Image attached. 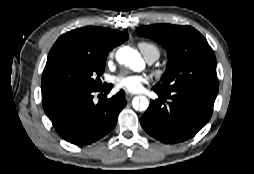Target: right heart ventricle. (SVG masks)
Returning <instances> with one entry per match:
<instances>
[{
    "label": "right heart ventricle",
    "instance_id": "e07e8e85",
    "mask_svg": "<svg viewBox=\"0 0 254 174\" xmlns=\"http://www.w3.org/2000/svg\"><path fill=\"white\" fill-rule=\"evenodd\" d=\"M138 47L143 53L144 57L147 59L155 58L158 59L160 56V50L157 45L151 42L142 41L138 43Z\"/></svg>",
    "mask_w": 254,
    "mask_h": 174
}]
</instances>
